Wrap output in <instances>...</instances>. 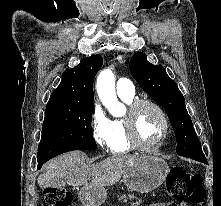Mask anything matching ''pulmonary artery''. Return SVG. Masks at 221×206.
Segmentation results:
<instances>
[{
	"label": "pulmonary artery",
	"mask_w": 221,
	"mask_h": 206,
	"mask_svg": "<svg viewBox=\"0 0 221 206\" xmlns=\"http://www.w3.org/2000/svg\"><path fill=\"white\" fill-rule=\"evenodd\" d=\"M116 90L117 94L121 96H134L135 94L133 83L126 78H121L118 80Z\"/></svg>",
	"instance_id": "e3ab8cb5"
}]
</instances>
